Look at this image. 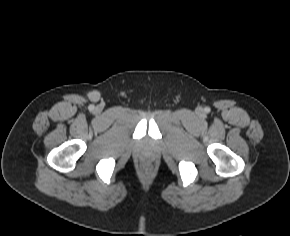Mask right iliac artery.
I'll use <instances>...</instances> for the list:
<instances>
[{
    "label": "right iliac artery",
    "mask_w": 290,
    "mask_h": 236,
    "mask_svg": "<svg viewBox=\"0 0 290 236\" xmlns=\"http://www.w3.org/2000/svg\"><path fill=\"white\" fill-rule=\"evenodd\" d=\"M89 109H90V110H93V109H94V106H90Z\"/></svg>",
    "instance_id": "1"
}]
</instances>
